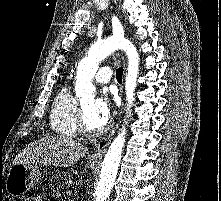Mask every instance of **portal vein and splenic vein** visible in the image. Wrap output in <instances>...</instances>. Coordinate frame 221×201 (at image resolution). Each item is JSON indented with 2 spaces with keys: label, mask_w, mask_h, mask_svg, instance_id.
<instances>
[{
  "label": "portal vein and splenic vein",
  "mask_w": 221,
  "mask_h": 201,
  "mask_svg": "<svg viewBox=\"0 0 221 201\" xmlns=\"http://www.w3.org/2000/svg\"><path fill=\"white\" fill-rule=\"evenodd\" d=\"M67 195H68V196H71V195H72V192H71V191H68V192H67Z\"/></svg>",
  "instance_id": "obj_1"
}]
</instances>
